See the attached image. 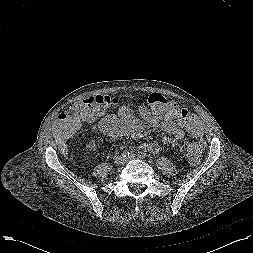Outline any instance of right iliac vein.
Returning a JSON list of instances; mask_svg holds the SVG:
<instances>
[{"label": "right iliac vein", "mask_w": 253, "mask_h": 253, "mask_svg": "<svg viewBox=\"0 0 253 253\" xmlns=\"http://www.w3.org/2000/svg\"><path fill=\"white\" fill-rule=\"evenodd\" d=\"M114 161L117 165H121L125 162V158L123 156H116Z\"/></svg>", "instance_id": "1"}]
</instances>
